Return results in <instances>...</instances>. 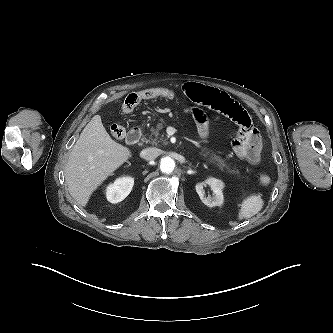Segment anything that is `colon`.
<instances>
[{"instance_id":"1","label":"colon","mask_w":333,"mask_h":333,"mask_svg":"<svg viewBox=\"0 0 333 333\" xmlns=\"http://www.w3.org/2000/svg\"><path fill=\"white\" fill-rule=\"evenodd\" d=\"M176 93L170 89L166 88H150L141 90L138 92L130 93L128 94L121 107L122 113H130L132 112L138 104L145 99H151V98H157V97H163V98H174ZM111 135L115 139H122L125 136V129L120 124H113L110 128ZM260 182L264 185H267L271 182V178L267 174H262L259 178Z\"/></svg>"}]
</instances>
